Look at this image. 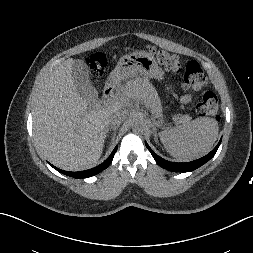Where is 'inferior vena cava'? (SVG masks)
Here are the masks:
<instances>
[{"mask_svg": "<svg viewBox=\"0 0 253 253\" xmlns=\"http://www.w3.org/2000/svg\"><path fill=\"white\" fill-rule=\"evenodd\" d=\"M128 116L126 110L113 111L109 116V124L114 127H118Z\"/></svg>", "mask_w": 253, "mask_h": 253, "instance_id": "602c4592", "label": "inferior vena cava"}]
</instances>
